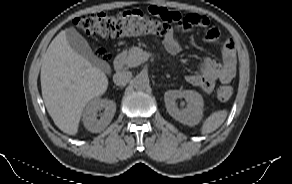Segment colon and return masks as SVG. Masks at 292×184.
<instances>
[{
	"instance_id": "colon-1",
	"label": "colon",
	"mask_w": 292,
	"mask_h": 184,
	"mask_svg": "<svg viewBox=\"0 0 292 184\" xmlns=\"http://www.w3.org/2000/svg\"><path fill=\"white\" fill-rule=\"evenodd\" d=\"M74 24L87 35L104 37H125L133 35L165 36L172 25L186 26L187 19L178 12L164 8L151 7L148 13L140 10H128L117 14L89 13L74 20ZM98 55L106 58L103 50ZM219 100L227 101L232 95V88L220 85L216 89Z\"/></svg>"
}]
</instances>
